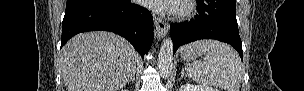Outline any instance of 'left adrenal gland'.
Instances as JSON below:
<instances>
[{
  "mask_svg": "<svg viewBox=\"0 0 304 91\" xmlns=\"http://www.w3.org/2000/svg\"><path fill=\"white\" fill-rule=\"evenodd\" d=\"M185 76L184 70L181 72V78Z\"/></svg>",
  "mask_w": 304,
  "mask_h": 91,
  "instance_id": "obj_1",
  "label": "left adrenal gland"
}]
</instances>
